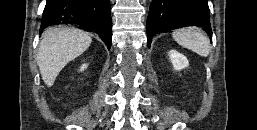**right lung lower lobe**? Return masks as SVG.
Returning <instances> with one entry per match:
<instances>
[{
	"mask_svg": "<svg viewBox=\"0 0 257 130\" xmlns=\"http://www.w3.org/2000/svg\"><path fill=\"white\" fill-rule=\"evenodd\" d=\"M72 24L97 33L111 47L110 0H47L40 30L52 25Z\"/></svg>",
	"mask_w": 257,
	"mask_h": 130,
	"instance_id": "right-lung-lower-lobe-1",
	"label": "right lung lower lobe"
}]
</instances>
